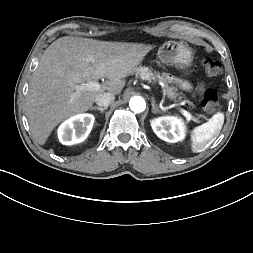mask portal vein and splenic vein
<instances>
[{
	"mask_svg": "<svg viewBox=\"0 0 253 253\" xmlns=\"http://www.w3.org/2000/svg\"><path fill=\"white\" fill-rule=\"evenodd\" d=\"M101 89V85L93 80L88 81L87 83H83L80 85H77L75 90L76 93L73 95L72 98H75L78 96L80 93L85 92V91H98ZM180 112L184 115V117L189 121L192 119V116L189 112H187L185 109H180Z\"/></svg>",
	"mask_w": 253,
	"mask_h": 253,
	"instance_id": "portal-vein-and-splenic-vein-1",
	"label": "portal vein and splenic vein"
}]
</instances>
